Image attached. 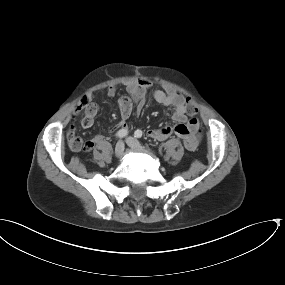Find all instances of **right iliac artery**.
I'll list each match as a JSON object with an SVG mask.
<instances>
[{
	"mask_svg": "<svg viewBox=\"0 0 285 285\" xmlns=\"http://www.w3.org/2000/svg\"><path fill=\"white\" fill-rule=\"evenodd\" d=\"M127 134H128V130H127V129H122V130H119V131L116 133V137H118V138H123V137H125Z\"/></svg>",
	"mask_w": 285,
	"mask_h": 285,
	"instance_id": "1",
	"label": "right iliac artery"
}]
</instances>
